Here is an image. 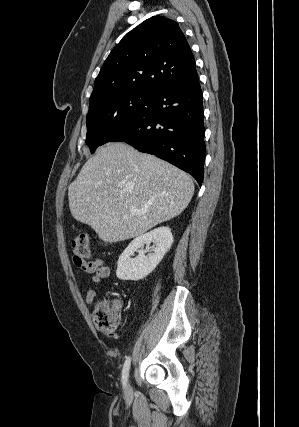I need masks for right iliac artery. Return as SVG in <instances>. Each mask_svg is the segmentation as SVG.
<instances>
[{
    "mask_svg": "<svg viewBox=\"0 0 299 427\" xmlns=\"http://www.w3.org/2000/svg\"><path fill=\"white\" fill-rule=\"evenodd\" d=\"M130 362H131V359L130 357H128L124 363L123 370H122V383L124 387L126 386L128 375H129Z\"/></svg>",
    "mask_w": 299,
    "mask_h": 427,
    "instance_id": "obj_1",
    "label": "right iliac artery"
}]
</instances>
